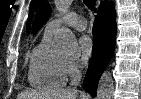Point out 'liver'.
<instances>
[{"mask_svg": "<svg viewBox=\"0 0 141 99\" xmlns=\"http://www.w3.org/2000/svg\"><path fill=\"white\" fill-rule=\"evenodd\" d=\"M77 90H63L53 92L25 91L18 94L17 99H76Z\"/></svg>", "mask_w": 141, "mask_h": 99, "instance_id": "liver-1", "label": "liver"}]
</instances>
